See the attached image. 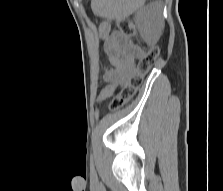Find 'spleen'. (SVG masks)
Instances as JSON below:
<instances>
[{"label": "spleen", "instance_id": "3e777b00", "mask_svg": "<svg viewBox=\"0 0 223 191\" xmlns=\"http://www.w3.org/2000/svg\"><path fill=\"white\" fill-rule=\"evenodd\" d=\"M139 0H92L93 12L105 18H119L131 14Z\"/></svg>", "mask_w": 223, "mask_h": 191}]
</instances>
